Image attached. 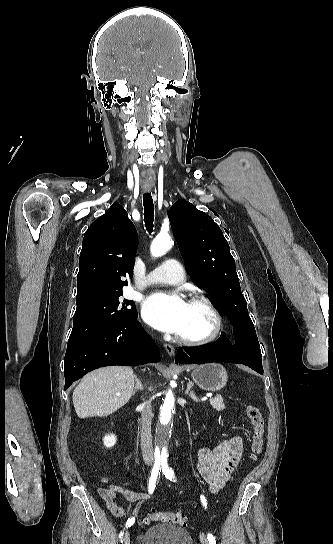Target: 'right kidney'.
<instances>
[{"instance_id": "obj_1", "label": "right kidney", "mask_w": 333, "mask_h": 544, "mask_svg": "<svg viewBox=\"0 0 333 544\" xmlns=\"http://www.w3.org/2000/svg\"><path fill=\"white\" fill-rule=\"evenodd\" d=\"M117 438L114 434L106 435L103 438V443L107 448H111L116 444Z\"/></svg>"}]
</instances>
